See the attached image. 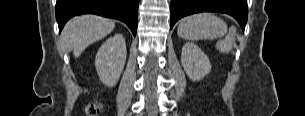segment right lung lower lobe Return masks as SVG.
<instances>
[{"instance_id":"right-lung-lower-lobe-1","label":"right lung lower lobe","mask_w":305,"mask_h":116,"mask_svg":"<svg viewBox=\"0 0 305 116\" xmlns=\"http://www.w3.org/2000/svg\"><path fill=\"white\" fill-rule=\"evenodd\" d=\"M139 0H57L55 12L61 32L65 23L80 14H97L125 22L136 35Z\"/></svg>"}]
</instances>
